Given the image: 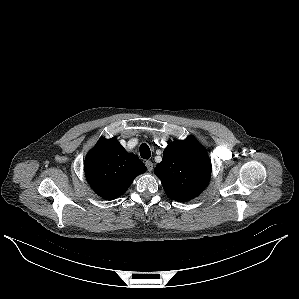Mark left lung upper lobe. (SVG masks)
<instances>
[{
    "label": "left lung upper lobe",
    "instance_id": "5c2ea615",
    "mask_svg": "<svg viewBox=\"0 0 299 299\" xmlns=\"http://www.w3.org/2000/svg\"><path fill=\"white\" fill-rule=\"evenodd\" d=\"M166 194L185 202L197 197L208 185L211 161L193 137L170 143L162 162L155 167Z\"/></svg>",
    "mask_w": 299,
    "mask_h": 299
}]
</instances>
